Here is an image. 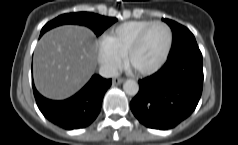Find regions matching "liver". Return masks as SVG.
Returning <instances> with one entry per match:
<instances>
[{
    "label": "liver",
    "mask_w": 238,
    "mask_h": 145,
    "mask_svg": "<svg viewBox=\"0 0 238 145\" xmlns=\"http://www.w3.org/2000/svg\"><path fill=\"white\" fill-rule=\"evenodd\" d=\"M97 44L93 32L81 26L52 29L39 40L34 55V81L45 97L72 96L96 69Z\"/></svg>",
    "instance_id": "6515ba94"
}]
</instances>
